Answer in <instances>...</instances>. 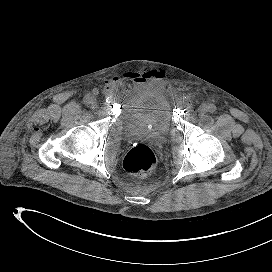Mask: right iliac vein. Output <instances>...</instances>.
I'll return each instance as SVG.
<instances>
[{"mask_svg":"<svg viewBox=\"0 0 272 272\" xmlns=\"http://www.w3.org/2000/svg\"><path fill=\"white\" fill-rule=\"evenodd\" d=\"M90 101H91V106L93 108H96L97 107V99L95 97H90Z\"/></svg>","mask_w":272,"mask_h":272,"instance_id":"63e3f726","label":"right iliac vein"}]
</instances>
